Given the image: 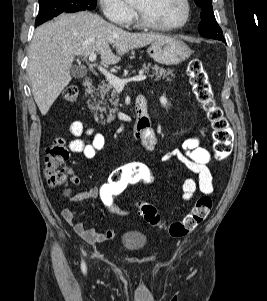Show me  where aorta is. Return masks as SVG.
<instances>
[{
	"instance_id": "aorta-1",
	"label": "aorta",
	"mask_w": 267,
	"mask_h": 301,
	"mask_svg": "<svg viewBox=\"0 0 267 301\" xmlns=\"http://www.w3.org/2000/svg\"><path fill=\"white\" fill-rule=\"evenodd\" d=\"M125 1L131 3V2H134V1H136V0H125Z\"/></svg>"
}]
</instances>
